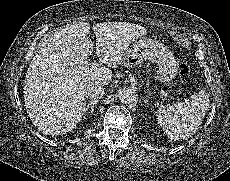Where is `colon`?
<instances>
[{
  "mask_svg": "<svg viewBox=\"0 0 230 181\" xmlns=\"http://www.w3.org/2000/svg\"><path fill=\"white\" fill-rule=\"evenodd\" d=\"M179 72L182 77H187L191 73V67L187 63H182L179 67Z\"/></svg>",
  "mask_w": 230,
  "mask_h": 181,
  "instance_id": "obj_1",
  "label": "colon"
}]
</instances>
